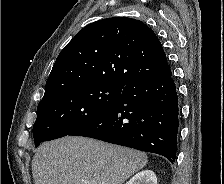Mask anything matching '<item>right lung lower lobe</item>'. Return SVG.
I'll return each mask as SVG.
<instances>
[{
	"instance_id": "1",
	"label": "right lung lower lobe",
	"mask_w": 224,
	"mask_h": 184,
	"mask_svg": "<svg viewBox=\"0 0 224 184\" xmlns=\"http://www.w3.org/2000/svg\"><path fill=\"white\" fill-rule=\"evenodd\" d=\"M178 96L172 72L126 85L99 115L69 135L152 152L175 162Z\"/></svg>"
}]
</instances>
